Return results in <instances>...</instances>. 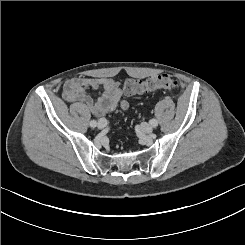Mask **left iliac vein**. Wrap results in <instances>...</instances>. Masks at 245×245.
<instances>
[{"mask_svg": "<svg viewBox=\"0 0 245 245\" xmlns=\"http://www.w3.org/2000/svg\"><path fill=\"white\" fill-rule=\"evenodd\" d=\"M142 131L145 133H151L153 131V127L150 124L143 123L141 125Z\"/></svg>", "mask_w": 245, "mask_h": 245, "instance_id": "obj_1", "label": "left iliac vein"}]
</instances>
